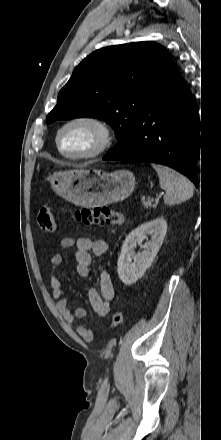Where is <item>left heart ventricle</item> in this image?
I'll list each match as a JSON object with an SVG mask.
<instances>
[{"mask_svg": "<svg viewBox=\"0 0 221 440\" xmlns=\"http://www.w3.org/2000/svg\"><path fill=\"white\" fill-rule=\"evenodd\" d=\"M97 142V132L92 127L82 124L70 126L60 138L62 149L71 154L87 152L95 147Z\"/></svg>", "mask_w": 221, "mask_h": 440, "instance_id": "1", "label": "left heart ventricle"}]
</instances>
